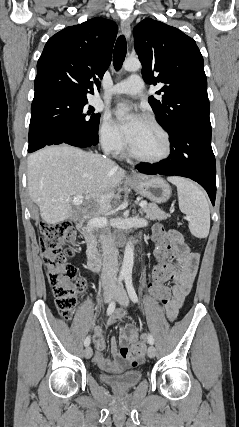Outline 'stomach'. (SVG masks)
Returning <instances> with one entry per match:
<instances>
[{
	"label": "stomach",
	"mask_w": 239,
	"mask_h": 427,
	"mask_svg": "<svg viewBox=\"0 0 239 427\" xmlns=\"http://www.w3.org/2000/svg\"><path fill=\"white\" fill-rule=\"evenodd\" d=\"M128 185L138 194L147 197L155 203H164L171 196L169 184L160 177H140L129 181Z\"/></svg>",
	"instance_id": "stomach-1"
}]
</instances>
